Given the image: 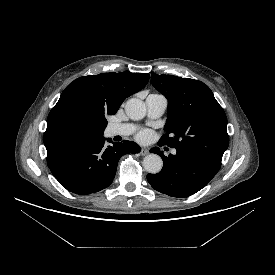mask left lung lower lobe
Returning <instances> with one entry per match:
<instances>
[{
  "label": "left lung lower lobe",
  "instance_id": "left-lung-lower-lobe-1",
  "mask_svg": "<svg viewBox=\"0 0 275 275\" xmlns=\"http://www.w3.org/2000/svg\"><path fill=\"white\" fill-rule=\"evenodd\" d=\"M150 152L161 156L163 168L157 174H148L147 180L155 190L172 197L184 198L195 194L210 182L221 166L182 150L168 157L157 147Z\"/></svg>",
  "mask_w": 275,
  "mask_h": 275
}]
</instances>
